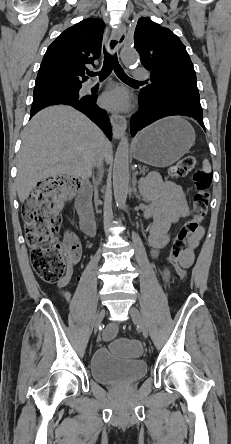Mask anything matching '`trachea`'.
I'll return each mask as SVG.
<instances>
[{
    "label": "trachea",
    "instance_id": "3493384b",
    "mask_svg": "<svg viewBox=\"0 0 231 444\" xmlns=\"http://www.w3.org/2000/svg\"><path fill=\"white\" fill-rule=\"evenodd\" d=\"M112 69H114V72L121 80L137 82V80H134L126 75L124 70L119 65L117 56L111 55L105 48H104V63L101 71L98 73L88 71L87 74L90 76L98 75L100 80H103L111 73Z\"/></svg>",
    "mask_w": 231,
    "mask_h": 444
}]
</instances>
